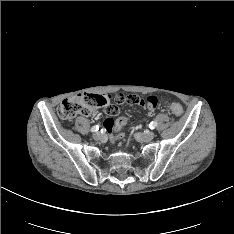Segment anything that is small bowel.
Returning a JSON list of instances; mask_svg holds the SVG:
<instances>
[{
  "label": "small bowel",
  "mask_w": 234,
  "mask_h": 234,
  "mask_svg": "<svg viewBox=\"0 0 234 234\" xmlns=\"http://www.w3.org/2000/svg\"><path fill=\"white\" fill-rule=\"evenodd\" d=\"M113 101L114 103H111V97L107 96L106 94H99L94 98V105L97 108H102V114L105 117H113L114 119H117L120 114V110L117 108V106L121 107L123 104L145 107L147 108L149 115L153 114L155 107L158 105L156 97L147 95L143 98L142 96H138L133 92L128 94L119 93L114 96ZM126 123L127 118L121 116L115 121L111 118L107 119L104 126L111 136L116 138Z\"/></svg>",
  "instance_id": "1"
}]
</instances>
